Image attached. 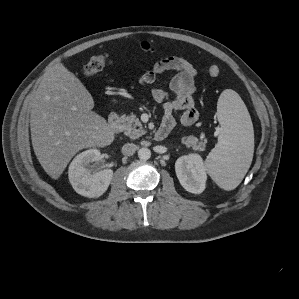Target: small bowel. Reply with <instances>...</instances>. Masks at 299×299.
Instances as JSON below:
<instances>
[{
    "mask_svg": "<svg viewBox=\"0 0 299 299\" xmlns=\"http://www.w3.org/2000/svg\"><path fill=\"white\" fill-rule=\"evenodd\" d=\"M167 71L175 72L170 81V89L174 97H170L166 91L160 88L152 90V97L155 102L163 106L165 116L162 126L171 132L176 124L175 111L182 112L181 122L185 126H192L198 120L193 99L196 92L197 70L187 59L181 56H169L158 61L152 68L144 72L139 82L144 86L153 84L159 74Z\"/></svg>",
    "mask_w": 299,
    "mask_h": 299,
    "instance_id": "1",
    "label": "small bowel"
}]
</instances>
